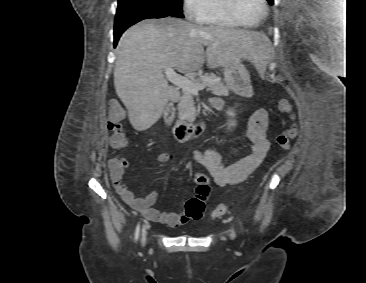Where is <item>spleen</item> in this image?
<instances>
[{
    "label": "spleen",
    "instance_id": "spleen-1",
    "mask_svg": "<svg viewBox=\"0 0 366 283\" xmlns=\"http://www.w3.org/2000/svg\"><path fill=\"white\" fill-rule=\"evenodd\" d=\"M257 69L259 70V72H262V69L263 68L262 67H258Z\"/></svg>",
    "mask_w": 366,
    "mask_h": 283
}]
</instances>
